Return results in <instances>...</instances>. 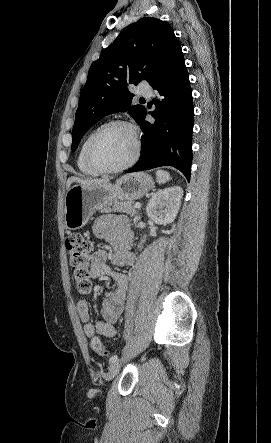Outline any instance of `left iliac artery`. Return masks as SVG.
Masks as SVG:
<instances>
[{"mask_svg": "<svg viewBox=\"0 0 271 443\" xmlns=\"http://www.w3.org/2000/svg\"><path fill=\"white\" fill-rule=\"evenodd\" d=\"M117 360H118V356L117 355H113L109 359V363L112 364V363L116 362Z\"/></svg>", "mask_w": 271, "mask_h": 443, "instance_id": "obj_1", "label": "left iliac artery"}]
</instances>
